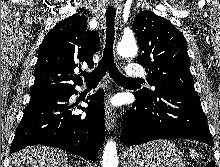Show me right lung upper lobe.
Returning a JSON list of instances; mask_svg holds the SVG:
<instances>
[{
    "label": "right lung upper lobe",
    "instance_id": "right-lung-upper-lobe-1",
    "mask_svg": "<svg viewBox=\"0 0 220 167\" xmlns=\"http://www.w3.org/2000/svg\"><path fill=\"white\" fill-rule=\"evenodd\" d=\"M99 47L98 33L87 29L86 19L80 13L60 21L39 49L31 97L81 85L82 78L74 74V69L82 62L92 67Z\"/></svg>",
    "mask_w": 220,
    "mask_h": 167
}]
</instances>
